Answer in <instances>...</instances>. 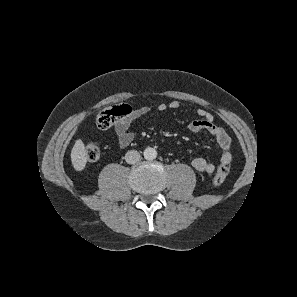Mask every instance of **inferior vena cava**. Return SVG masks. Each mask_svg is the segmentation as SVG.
<instances>
[{"mask_svg": "<svg viewBox=\"0 0 297 297\" xmlns=\"http://www.w3.org/2000/svg\"><path fill=\"white\" fill-rule=\"evenodd\" d=\"M140 153L136 150H130L125 155V160L129 164H134L140 160Z\"/></svg>", "mask_w": 297, "mask_h": 297, "instance_id": "1", "label": "inferior vena cava"}]
</instances>
